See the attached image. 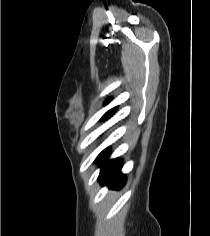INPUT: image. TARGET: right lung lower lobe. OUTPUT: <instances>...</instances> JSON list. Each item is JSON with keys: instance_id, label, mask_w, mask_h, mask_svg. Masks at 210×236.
Listing matches in <instances>:
<instances>
[{"instance_id": "obj_1", "label": "right lung lower lobe", "mask_w": 210, "mask_h": 236, "mask_svg": "<svg viewBox=\"0 0 210 236\" xmlns=\"http://www.w3.org/2000/svg\"><path fill=\"white\" fill-rule=\"evenodd\" d=\"M100 162L101 172L99 181L102 185H108L112 188H121L125 183V176L120 172L122 161L119 159L107 160L108 155L104 150L97 158Z\"/></svg>"}]
</instances>
